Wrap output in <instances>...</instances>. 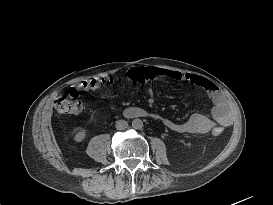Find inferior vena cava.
Returning <instances> with one entry per match:
<instances>
[{"label": "inferior vena cava", "mask_w": 273, "mask_h": 205, "mask_svg": "<svg viewBox=\"0 0 273 205\" xmlns=\"http://www.w3.org/2000/svg\"><path fill=\"white\" fill-rule=\"evenodd\" d=\"M116 129L117 130H125L128 128V123L125 120L116 121Z\"/></svg>", "instance_id": "inferior-vena-cava-1"}]
</instances>
